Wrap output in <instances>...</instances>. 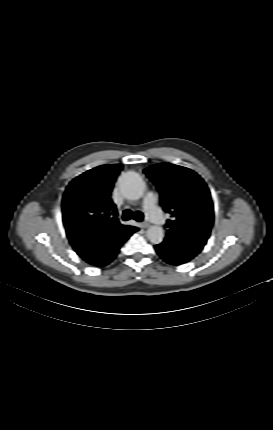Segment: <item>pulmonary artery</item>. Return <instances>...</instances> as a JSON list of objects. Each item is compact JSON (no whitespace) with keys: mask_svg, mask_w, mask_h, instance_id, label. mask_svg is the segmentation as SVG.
Listing matches in <instances>:
<instances>
[{"mask_svg":"<svg viewBox=\"0 0 273 430\" xmlns=\"http://www.w3.org/2000/svg\"><path fill=\"white\" fill-rule=\"evenodd\" d=\"M144 208L150 219L161 225L164 222L163 213L157 206V195L154 192H149L144 200Z\"/></svg>","mask_w":273,"mask_h":430,"instance_id":"e3ab8cb5","label":"pulmonary artery"}]
</instances>
